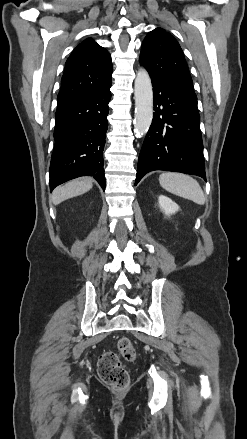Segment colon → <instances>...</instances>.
<instances>
[{"instance_id": "5ec220e1", "label": "colon", "mask_w": 247, "mask_h": 439, "mask_svg": "<svg viewBox=\"0 0 247 439\" xmlns=\"http://www.w3.org/2000/svg\"><path fill=\"white\" fill-rule=\"evenodd\" d=\"M118 353L104 352L98 362V374L101 380L115 390L124 389L129 382V375L121 358L127 362L135 359V350L128 338H121L117 344Z\"/></svg>"}]
</instances>
